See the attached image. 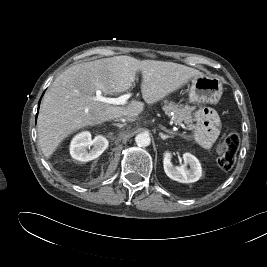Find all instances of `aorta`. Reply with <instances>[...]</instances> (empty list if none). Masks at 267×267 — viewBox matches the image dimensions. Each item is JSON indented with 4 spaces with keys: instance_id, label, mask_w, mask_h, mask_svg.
Masks as SVG:
<instances>
[{
    "instance_id": "762f6f07",
    "label": "aorta",
    "mask_w": 267,
    "mask_h": 267,
    "mask_svg": "<svg viewBox=\"0 0 267 267\" xmlns=\"http://www.w3.org/2000/svg\"><path fill=\"white\" fill-rule=\"evenodd\" d=\"M135 142L139 147H147V146L150 145L151 139H150L149 134H147V133H139L135 137Z\"/></svg>"
}]
</instances>
